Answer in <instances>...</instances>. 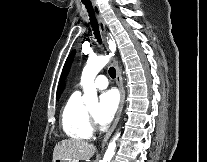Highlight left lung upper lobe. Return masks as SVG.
<instances>
[{
	"label": "left lung upper lobe",
	"mask_w": 207,
	"mask_h": 162,
	"mask_svg": "<svg viewBox=\"0 0 207 162\" xmlns=\"http://www.w3.org/2000/svg\"><path fill=\"white\" fill-rule=\"evenodd\" d=\"M74 53H75V51H73V52L69 55V57L67 58L66 63H65L64 68H63L62 76H64V75L68 72L70 63H71L72 58H73V56H74Z\"/></svg>",
	"instance_id": "1"
}]
</instances>
